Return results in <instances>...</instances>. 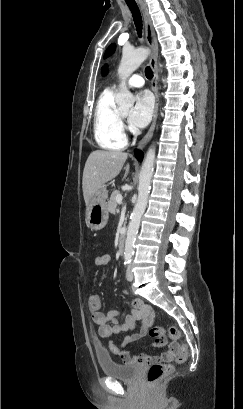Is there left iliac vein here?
Segmentation results:
<instances>
[{
    "mask_svg": "<svg viewBox=\"0 0 243 409\" xmlns=\"http://www.w3.org/2000/svg\"><path fill=\"white\" fill-rule=\"evenodd\" d=\"M126 278H127L128 281H132L133 278H134V275H133V272H132V266H131V265L127 268Z\"/></svg>",
    "mask_w": 243,
    "mask_h": 409,
    "instance_id": "obj_1",
    "label": "left iliac vein"
}]
</instances>
